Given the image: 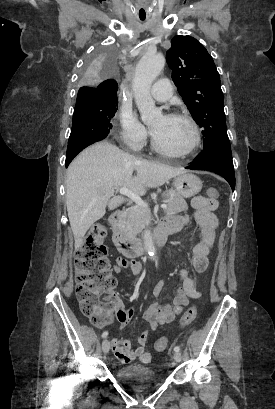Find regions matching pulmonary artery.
<instances>
[{
    "instance_id": "1",
    "label": "pulmonary artery",
    "mask_w": 275,
    "mask_h": 409,
    "mask_svg": "<svg viewBox=\"0 0 275 409\" xmlns=\"http://www.w3.org/2000/svg\"><path fill=\"white\" fill-rule=\"evenodd\" d=\"M151 92L156 100L165 101L174 93V86L170 85L169 79H158L157 85L151 87Z\"/></svg>"
}]
</instances>
